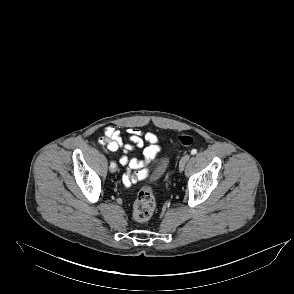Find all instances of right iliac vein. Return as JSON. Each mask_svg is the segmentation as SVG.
<instances>
[{"instance_id":"1","label":"right iliac vein","mask_w":294,"mask_h":294,"mask_svg":"<svg viewBox=\"0 0 294 294\" xmlns=\"http://www.w3.org/2000/svg\"><path fill=\"white\" fill-rule=\"evenodd\" d=\"M110 171H111L112 173L116 172V171H117V167H116V166H115V167H110Z\"/></svg>"}]
</instances>
